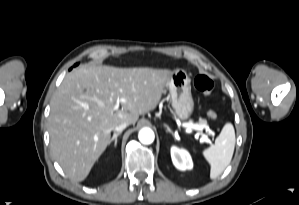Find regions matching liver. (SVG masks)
<instances>
[{
	"label": "liver",
	"instance_id": "liver-1",
	"mask_svg": "<svg viewBox=\"0 0 299 205\" xmlns=\"http://www.w3.org/2000/svg\"><path fill=\"white\" fill-rule=\"evenodd\" d=\"M172 71L88 66L66 75L51 99L48 119L55 160L75 182L83 181L107 148L111 131L135 124L156 108ZM121 109L115 110L116 100Z\"/></svg>",
	"mask_w": 299,
	"mask_h": 205
}]
</instances>
